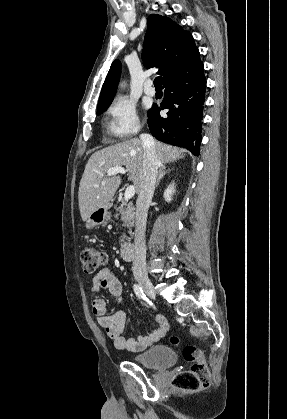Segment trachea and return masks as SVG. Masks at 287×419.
Segmentation results:
<instances>
[{"instance_id":"trachea-1","label":"trachea","mask_w":287,"mask_h":419,"mask_svg":"<svg viewBox=\"0 0 287 419\" xmlns=\"http://www.w3.org/2000/svg\"><path fill=\"white\" fill-rule=\"evenodd\" d=\"M154 86L155 88H161V76H158L154 80Z\"/></svg>"}]
</instances>
